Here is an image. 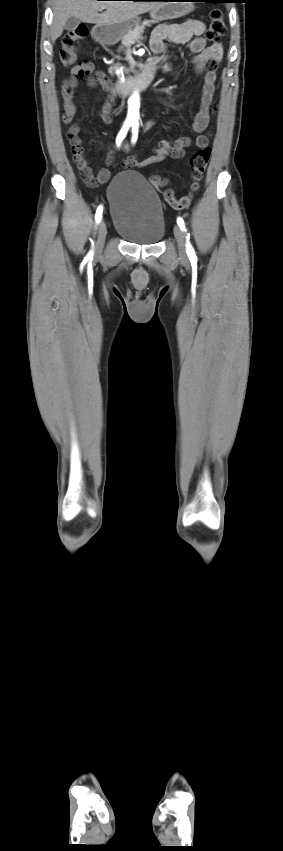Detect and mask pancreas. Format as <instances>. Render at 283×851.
I'll return each mask as SVG.
<instances>
[{
	"label": "pancreas",
	"instance_id": "pancreas-1",
	"mask_svg": "<svg viewBox=\"0 0 283 851\" xmlns=\"http://www.w3.org/2000/svg\"><path fill=\"white\" fill-rule=\"evenodd\" d=\"M149 25H150V21H145V22H143V24L141 26H137V27H135L134 30L127 33L122 39V46L120 47V50L123 49L124 47H127V48L130 47L131 45L135 44L136 42L140 43V40L143 39L142 34L144 32V28H145V26H149ZM118 67H119V64H115L110 68V71H114Z\"/></svg>",
	"mask_w": 283,
	"mask_h": 851
}]
</instances>
